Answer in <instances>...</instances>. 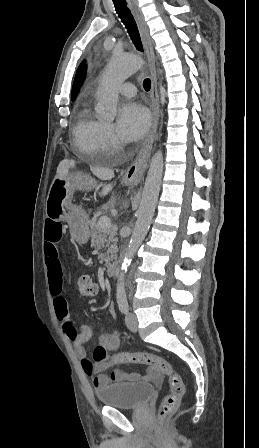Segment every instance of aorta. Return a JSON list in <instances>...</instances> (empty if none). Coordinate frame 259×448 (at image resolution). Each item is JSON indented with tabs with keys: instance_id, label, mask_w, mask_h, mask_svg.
<instances>
[{
	"instance_id": "1",
	"label": "aorta",
	"mask_w": 259,
	"mask_h": 448,
	"mask_svg": "<svg viewBox=\"0 0 259 448\" xmlns=\"http://www.w3.org/2000/svg\"><path fill=\"white\" fill-rule=\"evenodd\" d=\"M144 64L137 55H115L106 67L97 91V111L101 118L112 121L117 113L118 87ZM163 155L158 150L150 163L145 180L142 199L138 209L137 221L130 242L126 248L117 283V293L124 292L125 273L148 233L155 212L163 176Z\"/></svg>"
}]
</instances>
